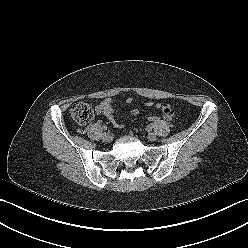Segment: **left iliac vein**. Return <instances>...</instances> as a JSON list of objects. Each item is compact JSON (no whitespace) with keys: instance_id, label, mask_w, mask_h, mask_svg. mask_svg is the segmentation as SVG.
Segmentation results:
<instances>
[{"instance_id":"1","label":"left iliac vein","mask_w":248,"mask_h":248,"mask_svg":"<svg viewBox=\"0 0 248 248\" xmlns=\"http://www.w3.org/2000/svg\"><path fill=\"white\" fill-rule=\"evenodd\" d=\"M147 138L150 141H156L157 140V135L155 133L150 132V133H148Z\"/></svg>"}]
</instances>
